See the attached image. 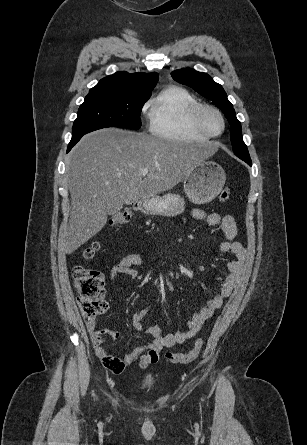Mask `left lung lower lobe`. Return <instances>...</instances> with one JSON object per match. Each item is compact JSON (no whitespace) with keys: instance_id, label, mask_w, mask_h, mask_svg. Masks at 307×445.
I'll return each mask as SVG.
<instances>
[{"instance_id":"left-lung-lower-lobe-1","label":"left lung lower lobe","mask_w":307,"mask_h":445,"mask_svg":"<svg viewBox=\"0 0 307 445\" xmlns=\"http://www.w3.org/2000/svg\"><path fill=\"white\" fill-rule=\"evenodd\" d=\"M240 159H242L243 161H245L246 163H248L250 166L252 165L251 159L248 161L245 158L240 157Z\"/></svg>"}]
</instances>
